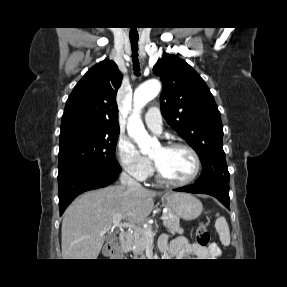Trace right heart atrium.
I'll use <instances>...</instances> for the list:
<instances>
[{"label":"right heart atrium","instance_id":"right-heart-atrium-1","mask_svg":"<svg viewBox=\"0 0 287 287\" xmlns=\"http://www.w3.org/2000/svg\"><path fill=\"white\" fill-rule=\"evenodd\" d=\"M115 153L121 167L133 178L144 181L149 177L152 170L151 160L141 154L129 138L119 136Z\"/></svg>","mask_w":287,"mask_h":287}]
</instances>
